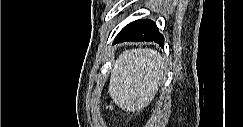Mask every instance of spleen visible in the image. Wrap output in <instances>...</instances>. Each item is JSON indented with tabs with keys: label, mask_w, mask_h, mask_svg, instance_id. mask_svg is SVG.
<instances>
[{
	"label": "spleen",
	"mask_w": 243,
	"mask_h": 127,
	"mask_svg": "<svg viewBox=\"0 0 243 127\" xmlns=\"http://www.w3.org/2000/svg\"><path fill=\"white\" fill-rule=\"evenodd\" d=\"M164 59L153 49H131L113 63L109 95L122 109L147 106L164 78Z\"/></svg>",
	"instance_id": "spleen-1"
}]
</instances>
